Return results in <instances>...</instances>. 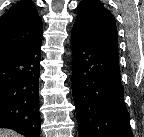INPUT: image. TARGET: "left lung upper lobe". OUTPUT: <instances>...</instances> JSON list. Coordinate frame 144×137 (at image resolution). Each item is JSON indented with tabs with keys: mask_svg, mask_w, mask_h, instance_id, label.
Returning a JSON list of instances; mask_svg holds the SVG:
<instances>
[{
	"mask_svg": "<svg viewBox=\"0 0 144 137\" xmlns=\"http://www.w3.org/2000/svg\"><path fill=\"white\" fill-rule=\"evenodd\" d=\"M73 28L94 42L117 50V27L111 12L99 0H83Z\"/></svg>",
	"mask_w": 144,
	"mask_h": 137,
	"instance_id": "1",
	"label": "left lung upper lobe"
}]
</instances>
